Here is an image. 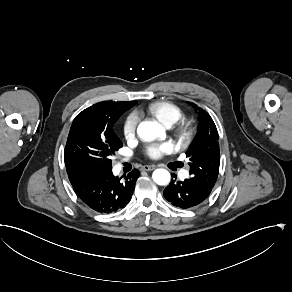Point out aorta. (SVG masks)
<instances>
[{
  "mask_svg": "<svg viewBox=\"0 0 292 292\" xmlns=\"http://www.w3.org/2000/svg\"><path fill=\"white\" fill-rule=\"evenodd\" d=\"M137 135L144 141H152L158 136L164 137L165 132L157 123L143 121L137 127ZM152 178L155 183L164 186L170 182L171 176L166 169H156L152 174Z\"/></svg>",
  "mask_w": 292,
  "mask_h": 292,
  "instance_id": "1",
  "label": "aorta"
}]
</instances>
